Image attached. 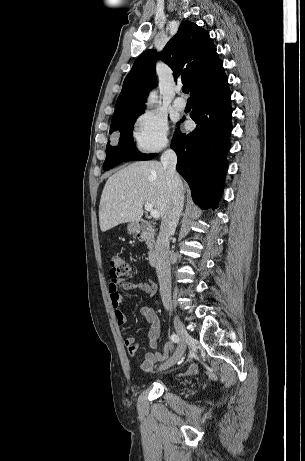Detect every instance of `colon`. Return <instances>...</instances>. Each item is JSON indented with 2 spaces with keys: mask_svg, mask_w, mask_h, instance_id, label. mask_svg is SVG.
<instances>
[{
  "mask_svg": "<svg viewBox=\"0 0 305 461\" xmlns=\"http://www.w3.org/2000/svg\"><path fill=\"white\" fill-rule=\"evenodd\" d=\"M133 275L130 264L119 255H114L110 259V276L115 280H122Z\"/></svg>",
  "mask_w": 305,
  "mask_h": 461,
  "instance_id": "obj_1",
  "label": "colon"
}]
</instances>
